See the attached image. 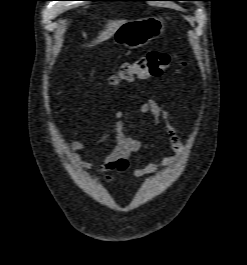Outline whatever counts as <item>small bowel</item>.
Listing matches in <instances>:
<instances>
[{"mask_svg":"<svg viewBox=\"0 0 247 265\" xmlns=\"http://www.w3.org/2000/svg\"><path fill=\"white\" fill-rule=\"evenodd\" d=\"M142 115L149 114L152 117L153 126L156 128L162 121L165 130L169 136V141L173 148V154L162 157L157 162L147 163L141 168L133 170L135 177H143L157 172L159 169L169 166L175 158L183 151V144L177 135L168 111L163 108L155 99L148 98L139 108ZM110 138H114L115 146L112 151L99 163L87 161L82 157V151L90 145L81 141H74L71 149L76 162L85 168H93L102 177L106 184H115V177L108 174L110 171L125 173L129 170L128 158L131 153L141 150L145 146V142L129 135L123 121V112L115 113V120L111 127L102 134L92 145L97 146L103 144Z\"/></svg>","mask_w":247,"mask_h":265,"instance_id":"c3829d8e","label":"small bowel"}]
</instances>
